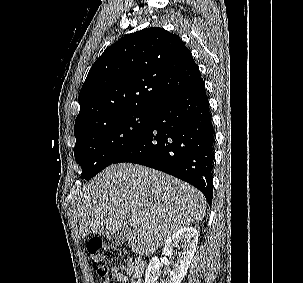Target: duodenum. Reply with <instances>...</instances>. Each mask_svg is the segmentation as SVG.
Segmentation results:
<instances>
[{
	"label": "duodenum",
	"mask_w": 303,
	"mask_h": 283,
	"mask_svg": "<svg viewBox=\"0 0 303 283\" xmlns=\"http://www.w3.org/2000/svg\"><path fill=\"white\" fill-rule=\"evenodd\" d=\"M137 265L143 269V263L141 261H137Z\"/></svg>",
	"instance_id": "1"
}]
</instances>
